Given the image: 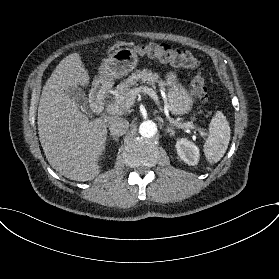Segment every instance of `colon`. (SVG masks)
I'll return each mask as SVG.
<instances>
[{
  "label": "colon",
  "mask_w": 279,
  "mask_h": 279,
  "mask_svg": "<svg viewBox=\"0 0 279 279\" xmlns=\"http://www.w3.org/2000/svg\"><path fill=\"white\" fill-rule=\"evenodd\" d=\"M136 52L144 57L155 58L173 66L196 69L197 58L190 52L181 51L167 44L145 42L135 46ZM191 92L201 102L208 100L207 80L201 71L195 72L191 77Z\"/></svg>",
  "instance_id": "obj_1"
}]
</instances>
